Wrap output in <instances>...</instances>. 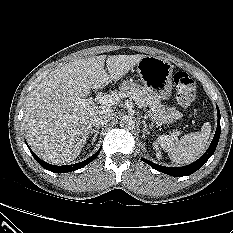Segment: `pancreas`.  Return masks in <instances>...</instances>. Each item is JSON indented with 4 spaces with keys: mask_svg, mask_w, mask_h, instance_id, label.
<instances>
[{
    "mask_svg": "<svg viewBox=\"0 0 233 233\" xmlns=\"http://www.w3.org/2000/svg\"><path fill=\"white\" fill-rule=\"evenodd\" d=\"M119 98H131L141 107H148L149 117L152 121L159 123H171L178 114L174 108L166 110L159 100L155 99L149 91L131 81H124L117 92Z\"/></svg>",
    "mask_w": 233,
    "mask_h": 233,
    "instance_id": "pancreas-1",
    "label": "pancreas"
}]
</instances>
